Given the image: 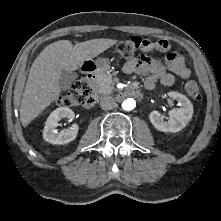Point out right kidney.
<instances>
[{"label": "right kidney", "mask_w": 221, "mask_h": 221, "mask_svg": "<svg viewBox=\"0 0 221 221\" xmlns=\"http://www.w3.org/2000/svg\"><path fill=\"white\" fill-rule=\"evenodd\" d=\"M74 112L67 107H60L54 110L47 118V121L43 130V138L45 141L52 144H66L73 141L78 134V126L72 125L68 129H64L57 132L56 127L59 125L58 122L62 118H68L72 120L74 118Z\"/></svg>", "instance_id": "1"}]
</instances>
